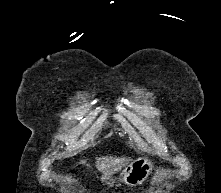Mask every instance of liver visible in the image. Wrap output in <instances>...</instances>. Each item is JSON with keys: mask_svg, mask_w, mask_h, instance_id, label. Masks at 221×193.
<instances>
[{"mask_svg": "<svg viewBox=\"0 0 221 193\" xmlns=\"http://www.w3.org/2000/svg\"><path fill=\"white\" fill-rule=\"evenodd\" d=\"M130 161L131 159L127 157L103 156L96 158V167L100 172L112 175L123 167H126Z\"/></svg>", "mask_w": 221, "mask_h": 193, "instance_id": "liver-1", "label": "liver"}]
</instances>
